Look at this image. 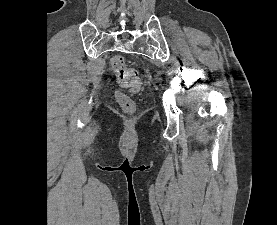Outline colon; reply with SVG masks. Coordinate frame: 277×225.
Listing matches in <instances>:
<instances>
[{"label": "colon", "instance_id": "colon-1", "mask_svg": "<svg viewBox=\"0 0 277 225\" xmlns=\"http://www.w3.org/2000/svg\"><path fill=\"white\" fill-rule=\"evenodd\" d=\"M111 66L121 87L115 93L116 100L124 112L132 114L136 110V104L123 89L138 91L141 86L139 74L136 69L126 63L124 57L121 55H116L112 58Z\"/></svg>", "mask_w": 277, "mask_h": 225}]
</instances>
